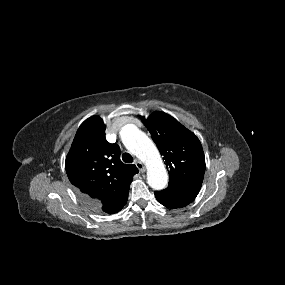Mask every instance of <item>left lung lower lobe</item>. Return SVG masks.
Listing matches in <instances>:
<instances>
[{
	"label": "left lung lower lobe",
	"instance_id": "obj_1",
	"mask_svg": "<svg viewBox=\"0 0 285 285\" xmlns=\"http://www.w3.org/2000/svg\"><path fill=\"white\" fill-rule=\"evenodd\" d=\"M199 191L168 186L165 190L155 191L157 200L168 208H182L190 204Z\"/></svg>",
	"mask_w": 285,
	"mask_h": 285
}]
</instances>
